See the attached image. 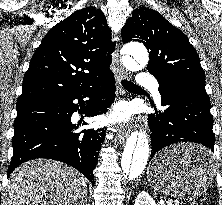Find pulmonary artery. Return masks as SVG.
Masks as SVG:
<instances>
[{"label": "pulmonary artery", "mask_w": 222, "mask_h": 205, "mask_svg": "<svg viewBox=\"0 0 222 205\" xmlns=\"http://www.w3.org/2000/svg\"><path fill=\"white\" fill-rule=\"evenodd\" d=\"M137 84L141 88H147V89L152 90L156 99L158 101L161 100V97L157 88V79L153 75H150L148 73H141L137 79Z\"/></svg>", "instance_id": "obj_1"}]
</instances>
